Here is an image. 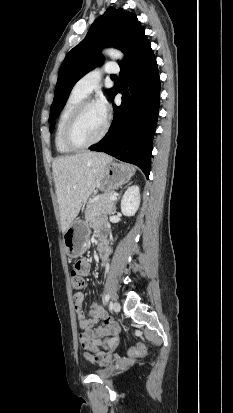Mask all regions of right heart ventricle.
Segmentation results:
<instances>
[{
  "mask_svg": "<svg viewBox=\"0 0 233 413\" xmlns=\"http://www.w3.org/2000/svg\"><path fill=\"white\" fill-rule=\"evenodd\" d=\"M84 99V96L72 91L62 107L55 130V146L59 153L67 154L73 151L64 144L62 139V132L68 117L75 109V107Z\"/></svg>",
  "mask_w": 233,
  "mask_h": 413,
  "instance_id": "1",
  "label": "right heart ventricle"
}]
</instances>
